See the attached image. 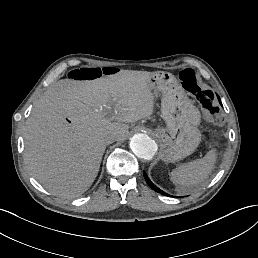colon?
Listing matches in <instances>:
<instances>
[{"mask_svg": "<svg viewBox=\"0 0 258 258\" xmlns=\"http://www.w3.org/2000/svg\"><path fill=\"white\" fill-rule=\"evenodd\" d=\"M119 72L115 67H83L74 69L69 73V78L74 81H92L103 76L115 75ZM183 87L191 93L200 106L213 114L216 111L214 93L202 86L193 69H184L179 75Z\"/></svg>", "mask_w": 258, "mask_h": 258, "instance_id": "colon-1", "label": "colon"}]
</instances>
